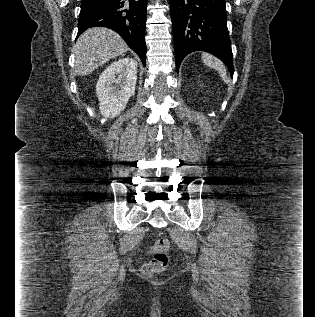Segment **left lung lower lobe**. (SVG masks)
I'll use <instances>...</instances> for the list:
<instances>
[{
  "label": "left lung lower lobe",
  "mask_w": 315,
  "mask_h": 317,
  "mask_svg": "<svg viewBox=\"0 0 315 317\" xmlns=\"http://www.w3.org/2000/svg\"><path fill=\"white\" fill-rule=\"evenodd\" d=\"M176 71L186 55L209 52L234 73L225 0H170Z\"/></svg>",
  "instance_id": "left-lung-lower-lobe-1"
}]
</instances>
